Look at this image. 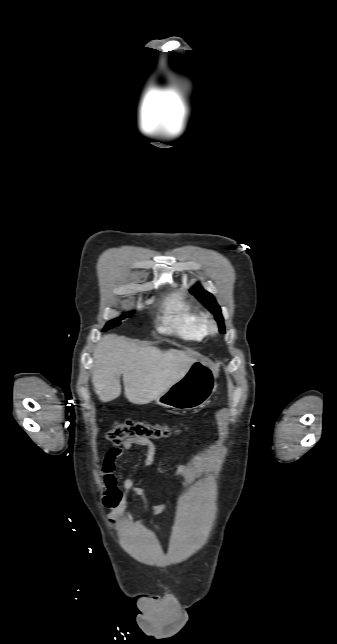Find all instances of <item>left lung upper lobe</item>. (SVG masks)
Listing matches in <instances>:
<instances>
[{
  "label": "left lung upper lobe",
  "instance_id": "left-lung-upper-lobe-1",
  "mask_svg": "<svg viewBox=\"0 0 337 644\" xmlns=\"http://www.w3.org/2000/svg\"><path fill=\"white\" fill-rule=\"evenodd\" d=\"M191 293L196 295L211 311L215 312L217 315V320L220 325V331L223 332V318L220 315V307L215 301V298L212 294L202 289V287L195 286L191 289Z\"/></svg>",
  "mask_w": 337,
  "mask_h": 644
}]
</instances>
